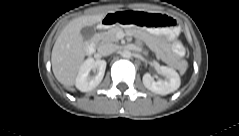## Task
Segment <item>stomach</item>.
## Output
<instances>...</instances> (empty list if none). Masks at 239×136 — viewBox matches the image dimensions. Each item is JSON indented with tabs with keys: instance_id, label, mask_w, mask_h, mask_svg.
Listing matches in <instances>:
<instances>
[{
	"instance_id": "stomach-1",
	"label": "stomach",
	"mask_w": 239,
	"mask_h": 136,
	"mask_svg": "<svg viewBox=\"0 0 239 136\" xmlns=\"http://www.w3.org/2000/svg\"><path fill=\"white\" fill-rule=\"evenodd\" d=\"M117 23L124 26L144 27L148 33L165 41H173L179 34L176 21L165 14L118 11Z\"/></svg>"
}]
</instances>
